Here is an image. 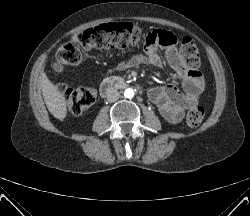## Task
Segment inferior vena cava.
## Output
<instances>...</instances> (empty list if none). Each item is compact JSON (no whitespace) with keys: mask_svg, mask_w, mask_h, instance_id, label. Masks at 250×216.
Masks as SVG:
<instances>
[{"mask_svg":"<svg viewBox=\"0 0 250 216\" xmlns=\"http://www.w3.org/2000/svg\"><path fill=\"white\" fill-rule=\"evenodd\" d=\"M120 98V93L117 90H110L107 93V101L108 102H115Z\"/></svg>","mask_w":250,"mask_h":216,"instance_id":"obj_1","label":"inferior vena cava"}]
</instances>
